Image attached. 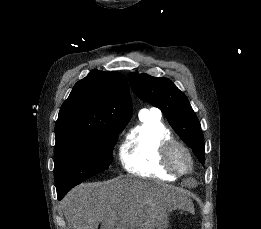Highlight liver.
<instances>
[{
    "label": "liver",
    "mask_w": 261,
    "mask_h": 229,
    "mask_svg": "<svg viewBox=\"0 0 261 229\" xmlns=\"http://www.w3.org/2000/svg\"><path fill=\"white\" fill-rule=\"evenodd\" d=\"M136 179L82 183L69 191L63 213L70 229H164L161 199H172L179 209L188 203L189 191Z\"/></svg>",
    "instance_id": "1"
}]
</instances>
